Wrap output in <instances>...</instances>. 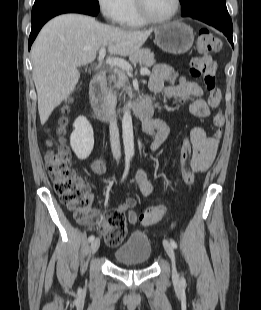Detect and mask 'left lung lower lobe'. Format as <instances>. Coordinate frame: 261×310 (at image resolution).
Wrapping results in <instances>:
<instances>
[{"instance_id": "0a47b994", "label": "left lung lower lobe", "mask_w": 261, "mask_h": 310, "mask_svg": "<svg viewBox=\"0 0 261 310\" xmlns=\"http://www.w3.org/2000/svg\"><path fill=\"white\" fill-rule=\"evenodd\" d=\"M192 18L200 20L222 31L233 46L232 21L228 14L226 5H219L209 12L193 16Z\"/></svg>"}]
</instances>
